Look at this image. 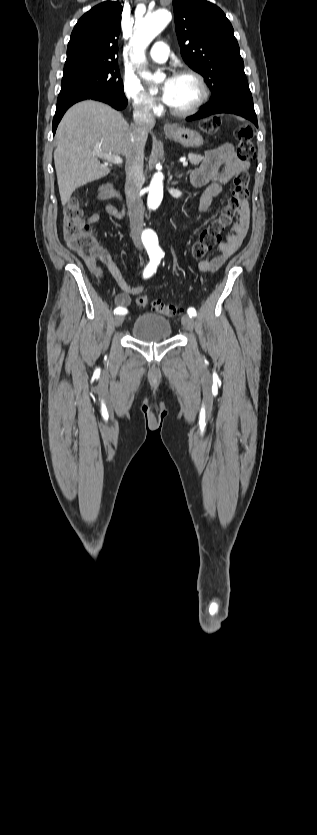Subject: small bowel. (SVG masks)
<instances>
[{
    "mask_svg": "<svg viewBox=\"0 0 317 835\" xmlns=\"http://www.w3.org/2000/svg\"><path fill=\"white\" fill-rule=\"evenodd\" d=\"M249 166V162L242 161L236 156L233 146L229 143L208 150L202 163L190 172L189 177L193 186H206L200 196L199 209L202 212H208L211 209L213 198L222 192L232 178L241 171H246ZM97 198L100 200L108 198L105 187L99 190ZM105 210L115 217L121 216V213L111 205H106ZM99 218V213L95 212L88 218L87 223L93 224ZM249 223V209L245 206L239 215L238 221L233 225L232 232L227 235L225 241L219 244V254L213 258L200 261L198 269L208 274L218 270L240 248L247 235ZM85 263L97 281H109L111 277L117 283L122 290L114 298L118 307L126 309L131 303V297L142 293L144 289L142 285H129L109 252L102 247L98 248L92 258L85 259ZM102 265L106 267L110 277L105 273Z\"/></svg>",
    "mask_w": 317,
    "mask_h": 835,
    "instance_id": "small-bowel-1",
    "label": "small bowel"
}]
</instances>
